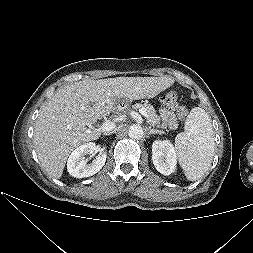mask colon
Instances as JSON below:
<instances>
[{
    "label": "colon",
    "mask_w": 253,
    "mask_h": 253,
    "mask_svg": "<svg viewBox=\"0 0 253 253\" xmlns=\"http://www.w3.org/2000/svg\"><path fill=\"white\" fill-rule=\"evenodd\" d=\"M179 97V92L178 91H173V92H170L168 93L166 96H165V100L167 102H173L175 101L177 98ZM178 115L180 117V119L184 120L187 115H188V110H187V107L185 105H181L179 108H178Z\"/></svg>",
    "instance_id": "1"
}]
</instances>
